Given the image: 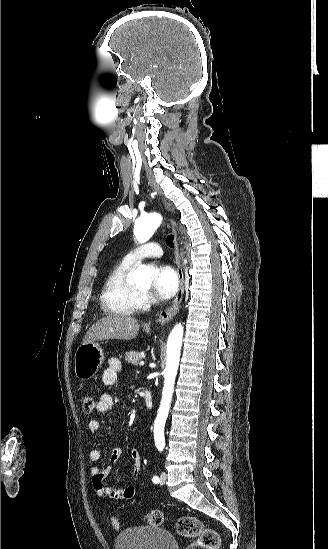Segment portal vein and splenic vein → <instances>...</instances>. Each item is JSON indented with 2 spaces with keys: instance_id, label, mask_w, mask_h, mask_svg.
<instances>
[{
  "instance_id": "obj_1",
  "label": "portal vein and splenic vein",
  "mask_w": 328,
  "mask_h": 549,
  "mask_svg": "<svg viewBox=\"0 0 328 549\" xmlns=\"http://www.w3.org/2000/svg\"><path fill=\"white\" fill-rule=\"evenodd\" d=\"M139 364L142 365V364H143V361H139Z\"/></svg>"
}]
</instances>
